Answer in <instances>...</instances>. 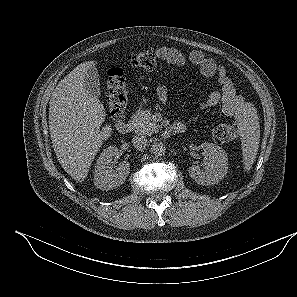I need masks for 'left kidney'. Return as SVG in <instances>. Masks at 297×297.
Instances as JSON below:
<instances>
[{"instance_id":"1","label":"left kidney","mask_w":297,"mask_h":297,"mask_svg":"<svg viewBox=\"0 0 297 297\" xmlns=\"http://www.w3.org/2000/svg\"><path fill=\"white\" fill-rule=\"evenodd\" d=\"M201 149L204 151V170L199 165H192L189 168V175L201 185L217 184L227 174V154L220 146L209 142L202 143Z\"/></svg>"}]
</instances>
